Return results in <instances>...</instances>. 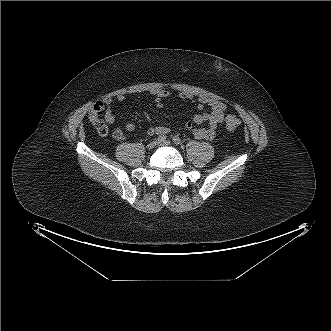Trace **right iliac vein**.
I'll return each instance as SVG.
<instances>
[{"instance_id":"right-iliac-vein-1","label":"right iliac vein","mask_w":331,"mask_h":331,"mask_svg":"<svg viewBox=\"0 0 331 331\" xmlns=\"http://www.w3.org/2000/svg\"><path fill=\"white\" fill-rule=\"evenodd\" d=\"M157 145L156 141H152L147 145V149L151 150Z\"/></svg>"}]
</instances>
